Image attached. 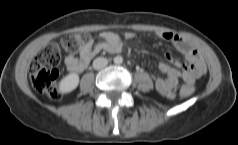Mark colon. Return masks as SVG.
<instances>
[{"label":"colon","mask_w":238,"mask_h":145,"mask_svg":"<svg viewBox=\"0 0 238 145\" xmlns=\"http://www.w3.org/2000/svg\"><path fill=\"white\" fill-rule=\"evenodd\" d=\"M87 34H75L63 38L60 43H50L36 56L30 68V81L34 89L58 100L62 94L57 87L58 71L56 67L61 60V49L68 53H75L86 43ZM192 86L183 85L179 91L181 98L189 97L193 93Z\"/></svg>","instance_id":"5ec220e1"}]
</instances>
